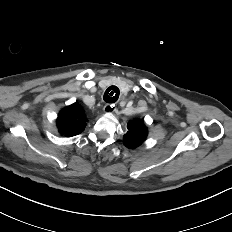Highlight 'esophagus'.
I'll use <instances>...</instances> for the list:
<instances>
[{
	"label": "esophagus",
	"instance_id": "esophagus-1",
	"mask_svg": "<svg viewBox=\"0 0 232 232\" xmlns=\"http://www.w3.org/2000/svg\"><path fill=\"white\" fill-rule=\"evenodd\" d=\"M116 110L115 105L114 104H106L104 106V112L106 113H113Z\"/></svg>",
	"mask_w": 232,
	"mask_h": 232
}]
</instances>
